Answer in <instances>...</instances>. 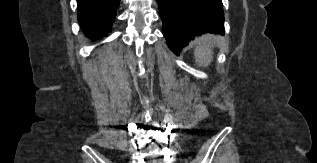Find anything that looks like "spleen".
Returning a JSON list of instances; mask_svg holds the SVG:
<instances>
[{
    "instance_id": "1",
    "label": "spleen",
    "mask_w": 317,
    "mask_h": 163,
    "mask_svg": "<svg viewBox=\"0 0 317 163\" xmlns=\"http://www.w3.org/2000/svg\"><path fill=\"white\" fill-rule=\"evenodd\" d=\"M213 52L211 49V46L208 44H202L199 45L194 52L195 60L198 64V66L206 67L208 66L212 61Z\"/></svg>"
}]
</instances>
